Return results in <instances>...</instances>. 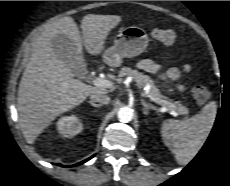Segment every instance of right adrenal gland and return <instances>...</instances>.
Instances as JSON below:
<instances>
[{
	"label": "right adrenal gland",
	"mask_w": 230,
	"mask_h": 186,
	"mask_svg": "<svg viewBox=\"0 0 230 186\" xmlns=\"http://www.w3.org/2000/svg\"><path fill=\"white\" fill-rule=\"evenodd\" d=\"M90 105H92L93 107H96V108H100L102 105L101 104H95L94 102L92 101H89L88 102Z\"/></svg>",
	"instance_id": "obj_1"
}]
</instances>
